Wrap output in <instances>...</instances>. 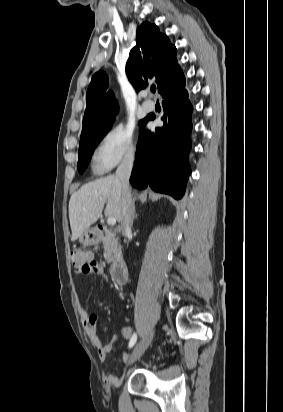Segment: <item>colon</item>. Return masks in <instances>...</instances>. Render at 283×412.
Instances as JSON below:
<instances>
[{"mask_svg": "<svg viewBox=\"0 0 283 412\" xmlns=\"http://www.w3.org/2000/svg\"><path fill=\"white\" fill-rule=\"evenodd\" d=\"M71 263L77 273L94 274L99 270V264L90 259L88 253L73 249L70 253Z\"/></svg>", "mask_w": 283, "mask_h": 412, "instance_id": "1", "label": "colon"}]
</instances>
